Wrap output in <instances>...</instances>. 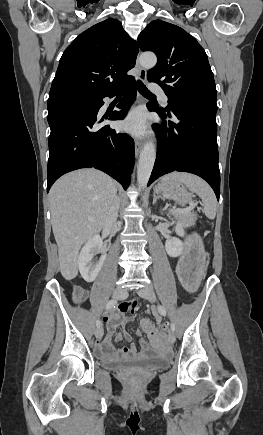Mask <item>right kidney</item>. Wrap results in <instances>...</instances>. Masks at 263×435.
Listing matches in <instances>:
<instances>
[{
	"label": "right kidney",
	"mask_w": 263,
	"mask_h": 435,
	"mask_svg": "<svg viewBox=\"0 0 263 435\" xmlns=\"http://www.w3.org/2000/svg\"><path fill=\"white\" fill-rule=\"evenodd\" d=\"M97 254L100 258L94 259ZM106 259V251L103 248V241L99 235L90 238L81 249L78 258V267L82 278L87 282H93Z\"/></svg>",
	"instance_id": "obj_1"
}]
</instances>
